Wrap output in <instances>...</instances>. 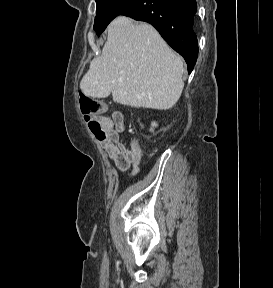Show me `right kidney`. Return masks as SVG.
I'll list each match as a JSON object with an SVG mask.
<instances>
[{"label":"right kidney","mask_w":273,"mask_h":288,"mask_svg":"<svg viewBox=\"0 0 273 288\" xmlns=\"http://www.w3.org/2000/svg\"><path fill=\"white\" fill-rule=\"evenodd\" d=\"M157 126V124L155 122L152 123V127Z\"/></svg>","instance_id":"obj_1"}]
</instances>
